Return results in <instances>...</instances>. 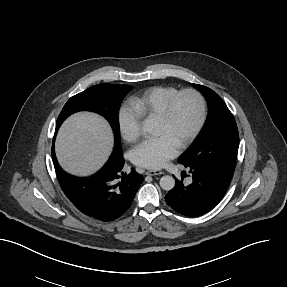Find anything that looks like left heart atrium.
<instances>
[{"label": "left heart atrium", "instance_id": "obj_1", "mask_svg": "<svg viewBox=\"0 0 287 287\" xmlns=\"http://www.w3.org/2000/svg\"><path fill=\"white\" fill-rule=\"evenodd\" d=\"M178 153L176 146L168 137L159 136L142 142L132 153L133 162L143 168L160 169Z\"/></svg>", "mask_w": 287, "mask_h": 287}]
</instances>
